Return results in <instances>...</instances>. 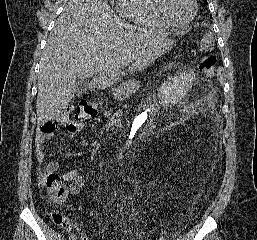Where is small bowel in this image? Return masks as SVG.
Instances as JSON below:
<instances>
[{"label": "small bowel", "instance_id": "c3829d8e", "mask_svg": "<svg viewBox=\"0 0 257 240\" xmlns=\"http://www.w3.org/2000/svg\"><path fill=\"white\" fill-rule=\"evenodd\" d=\"M68 133L75 134L78 128L68 125L66 127ZM52 138V134H45L39 132L36 136V156L38 163H43L46 155L43 150V145ZM59 162L56 160H50L44 169L39 170V180L43 181L48 174L56 173L59 169ZM63 181L69 184V192L72 195H78L83 187L84 179L83 176L77 169H73L67 173L61 175ZM69 228L74 229L79 237V240H88L87 236L79 228L78 224L75 221L69 222Z\"/></svg>", "mask_w": 257, "mask_h": 240}]
</instances>
